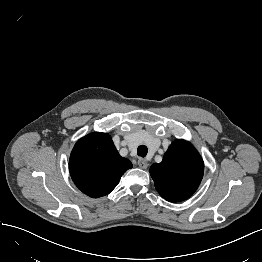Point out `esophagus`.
<instances>
[{
	"label": "esophagus",
	"mask_w": 262,
	"mask_h": 262,
	"mask_svg": "<svg viewBox=\"0 0 262 262\" xmlns=\"http://www.w3.org/2000/svg\"><path fill=\"white\" fill-rule=\"evenodd\" d=\"M137 164L142 169H146L148 167V165H149L147 160L144 159V158H139Z\"/></svg>",
	"instance_id": "1"
}]
</instances>
